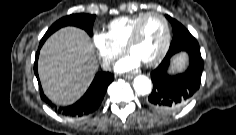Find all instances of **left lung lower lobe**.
<instances>
[{
    "label": "left lung lower lobe",
    "instance_id": "0a47b994",
    "mask_svg": "<svg viewBox=\"0 0 236 135\" xmlns=\"http://www.w3.org/2000/svg\"><path fill=\"white\" fill-rule=\"evenodd\" d=\"M173 39L169 51L161 64L151 72L153 90L148 97V105L160 113L173 112L185 105L197 92L201 84L204 68L199 44L190 32L178 21L170 18ZM179 52L189 56V67L181 74L170 75V59Z\"/></svg>",
    "mask_w": 236,
    "mask_h": 135
}]
</instances>
